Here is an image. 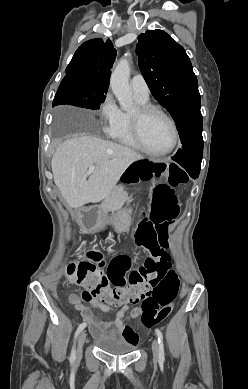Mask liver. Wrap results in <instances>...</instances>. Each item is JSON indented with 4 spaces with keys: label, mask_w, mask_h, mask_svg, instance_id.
<instances>
[{
    "label": "liver",
    "mask_w": 248,
    "mask_h": 389,
    "mask_svg": "<svg viewBox=\"0 0 248 389\" xmlns=\"http://www.w3.org/2000/svg\"><path fill=\"white\" fill-rule=\"evenodd\" d=\"M142 159L126 146L83 136L63 142L52 157L51 167L62 197L70 207L79 208L107 198L128 166ZM93 165L96 168L88 176Z\"/></svg>",
    "instance_id": "liver-1"
}]
</instances>
